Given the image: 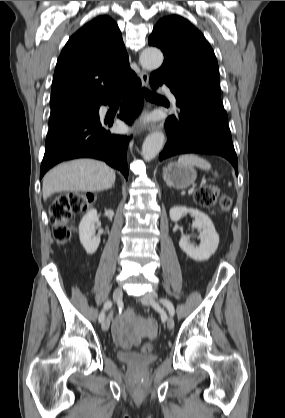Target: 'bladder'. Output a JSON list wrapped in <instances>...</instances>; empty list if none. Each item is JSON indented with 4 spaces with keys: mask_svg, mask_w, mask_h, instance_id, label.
Returning a JSON list of instances; mask_svg holds the SVG:
<instances>
[{
    "mask_svg": "<svg viewBox=\"0 0 285 418\" xmlns=\"http://www.w3.org/2000/svg\"><path fill=\"white\" fill-rule=\"evenodd\" d=\"M118 356L122 362L134 366H146L155 360L151 353H139L133 349L121 350Z\"/></svg>",
    "mask_w": 285,
    "mask_h": 418,
    "instance_id": "bladder-1",
    "label": "bladder"
}]
</instances>
